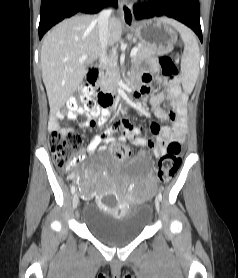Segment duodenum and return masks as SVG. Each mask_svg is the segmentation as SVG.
I'll return each instance as SVG.
<instances>
[{
	"mask_svg": "<svg viewBox=\"0 0 238 278\" xmlns=\"http://www.w3.org/2000/svg\"><path fill=\"white\" fill-rule=\"evenodd\" d=\"M98 76H99V68L96 66L92 67L87 74V81L93 87L99 105L102 107L112 106L116 100L115 95L111 92H107L101 89L98 86Z\"/></svg>",
	"mask_w": 238,
	"mask_h": 278,
	"instance_id": "1",
	"label": "duodenum"
}]
</instances>
